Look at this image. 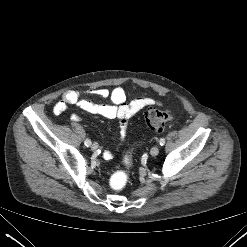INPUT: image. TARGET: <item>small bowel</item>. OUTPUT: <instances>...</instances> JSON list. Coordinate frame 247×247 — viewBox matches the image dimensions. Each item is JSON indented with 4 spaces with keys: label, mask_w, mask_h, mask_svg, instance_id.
I'll list each match as a JSON object with an SVG mask.
<instances>
[{
    "label": "small bowel",
    "mask_w": 247,
    "mask_h": 247,
    "mask_svg": "<svg viewBox=\"0 0 247 247\" xmlns=\"http://www.w3.org/2000/svg\"><path fill=\"white\" fill-rule=\"evenodd\" d=\"M88 95L108 99L109 102L96 104L86 97ZM126 99V92L120 86L112 90L106 88L87 92L71 90L62 95L61 100L54 106L53 110L55 114H62L67 110L68 105H76L93 115H100L109 119L116 118L120 120V139L123 140L126 135L127 121L145 107L155 103L154 99L147 96L138 97L130 102H126ZM71 119L75 122H80L82 117L79 114H72ZM103 157L105 160H110L114 157V152L104 151Z\"/></svg>",
    "instance_id": "1"
}]
</instances>
